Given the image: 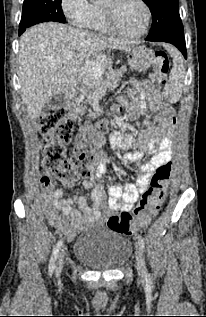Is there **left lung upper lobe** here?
I'll return each instance as SVG.
<instances>
[{
  "label": "left lung upper lobe",
  "instance_id": "obj_1",
  "mask_svg": "<svg viewBox=\"0 0 206 317\" xmlns=\"http://www.w3.org/2000/svg\"><path fill=\"white\" fill-rule=\"evenodd\" d=\"M151 10L153 23L146 40L184 39L178 0H143Z\"/></svg>",
  "mask_w": 206,
  "mask_h": 317
}]
</instances>
